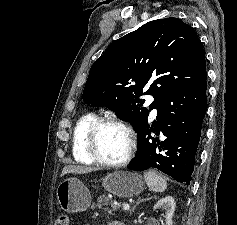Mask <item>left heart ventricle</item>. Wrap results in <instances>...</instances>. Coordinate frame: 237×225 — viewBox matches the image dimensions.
Here are the masks:
<instances>
[{
    "mask_svg": "<svg viewBox=\"0 0 237 225\" xmlns=\"http://www.w3.org/2000/svg\"><path fill=\"white\" fill-rule=\"evenodd\" d=\"M98 150L108 161H120L128 151L129 140L123 129L114 125L102 127L97 137Z\"/></svg>",
    "mask_w": 237,
    "mask_h": 225,
    "instance_id": "obj_1",
    "label": "left heart ventricle"
}]
</instances>
